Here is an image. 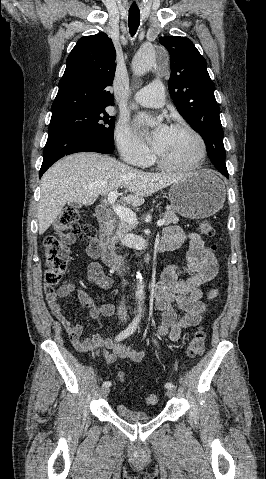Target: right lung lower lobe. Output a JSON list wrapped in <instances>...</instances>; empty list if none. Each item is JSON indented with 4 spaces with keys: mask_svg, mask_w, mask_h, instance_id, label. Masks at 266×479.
Wrapping results in <instances>:
<instances>
[{
    "mask_svg": "<svg viewBox=\"0 0 266 479\" xmlns=\"http://www.w3.org/2000/svg\"><path fill=\"white\" fill-rule=\"evenodd\" d=\"M114 148V143L98 138L69 131L51 130L45 145L39 178L53 163L65 155L84 151L110 154Z\"/></svg>",
    "mask_w": 266,
    "mask_h": 479,
    "instance_id": "obj_1",
    "label": "right lung lower lobe"
}]
</instances>
